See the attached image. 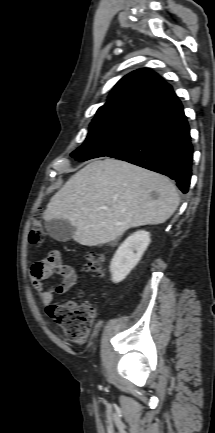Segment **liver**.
Listing matches in <instances>:
<instances>
[{
	"label": "liver",
	"instance_id": "liver-1",
	"mask_svg": "<svg viewBox=\"0 0 215 433\" xmlns=\"http://www.w3.org/2000/svg\"><path fill=\"white\" fill-rule=\"evenodd\" d=\"M179 205L166 176L116 159L89 163L51 198L45 221L67 220L84 246L112 242L132 227L168 220Z\"/></svg>",
	"mask_w": 215,
	"mask_h": 433
}]
</instances>
